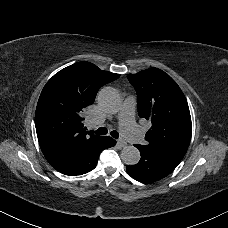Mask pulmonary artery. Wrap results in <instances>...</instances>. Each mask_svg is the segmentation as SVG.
Masks as SVG:
<instances>
[{
	"instance_id": "obj_1",
	"label": "pulmonary artery",
	"mask_w": 228,
	"mask_h": 228,
	"mask_svg": "<svg viewBox=\"0 0 228 228\" xmlns=\"http://www.w3.org/2000/svg\"><path fill=\"white\" fill-rule=\"evenodd\" d=\"M120 129L127 139H136L143 134V129L140 126H135L132 120V108L129 105H124L121 108Z\"/></svg>"
}]
</instances>
